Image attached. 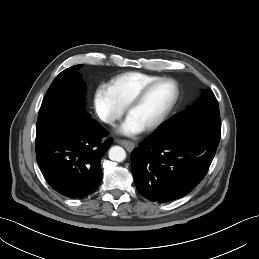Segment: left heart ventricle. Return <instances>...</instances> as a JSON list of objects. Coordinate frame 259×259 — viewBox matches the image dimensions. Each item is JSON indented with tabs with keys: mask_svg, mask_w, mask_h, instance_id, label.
I'll use <instances>...</instances> for the list:
<instances>
[{
	"mask_svg": "<svg viewBox=\"0 0 259 259\" xmlns=\"http://www.w3.org/2000/svg\"><path fill=\"white\" fill-rule=\"evenodd\" d=\"M175 95L173 84L162 82L152 87L129 116L143 128L155 122L170 105Z\"/></svg>",
	"mask_w": 259,
	"mask_h": 259,
	"instance_id": "obj_1",
	"label": "left heart ventricle"
}]
</instances>
